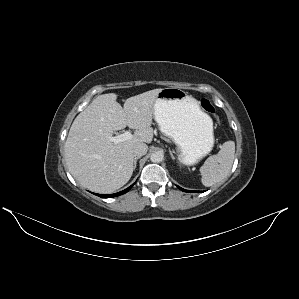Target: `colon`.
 Wrapping results in <instances>:
<instances>
[{"instance_id":"obj_1","label":"colon","mask_w":299,"mask_h":299,"mask_svg":"<svg viewBox=\"0 0 299 299\" xmlns=\"http://www.w3.org/2000/svg\"><path fill=\"white\" fill-rule=\"evenodd\" d=\"M200 105L202 109L207 112L208 114L214 115L215 114V108L212 105V103L208 99H201Z\"/></svg>"}]
</instances>
